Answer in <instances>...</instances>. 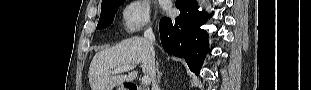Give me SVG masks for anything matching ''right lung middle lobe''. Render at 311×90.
<instances>
[{
    "mask_svg": "<svg viewBox=\"0 0 311 90\" xmlns=\"http://www.w3.org/2000/svg\"><path fill=\"white\" fill-rule=\"evenodd\" d=\"M124 0H110L101 6V15L97 29L102 30L109 27L114 19L115 13Z\"/></svg>",
    "mask_w": 311,
    "mask_h": 90,
    "instance_id": "right-lung-middle-lobe-1",
    "label": "right lung middle lobe"
}]
</instances>
